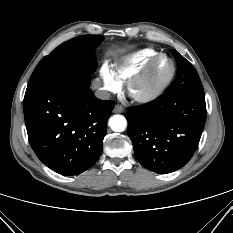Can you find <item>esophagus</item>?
Segmentation results:
<instances>
[{"label":"esophagus","mask_w":233,"mask_h":233,"mask_svg":"<svg viewBox=\"0 0 233 233\" xmlns=\"http://www.w3.org/2000/svg\"><path fill=\"white\" fill-rule=\"evenodd\" d=\"M123 111H124V108L122 105H120V104L115 105L114 113H122Z\"/></svg>","instance_id":"obj_1"}]
</instances>
